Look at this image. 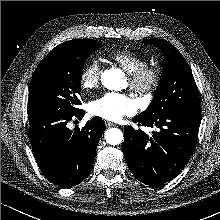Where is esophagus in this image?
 Wrapping results in <instances>:
<instances>
[{"instance_id": "esophagus-1", "label": "esophagus", "mask_w": 220, "mask_h": 220, "mask_svg": "<svg viewBox=\"0 0 220 220\" xmlns=\"http://www.w3.org/2000/svg\"><path fill=\"white\" fill-rule=\"evenodd\" d=\"M105 125H106V127H112V126H115V124L114 123H112V122H110V121H105Z\"/></svg>"}]
</instances>
